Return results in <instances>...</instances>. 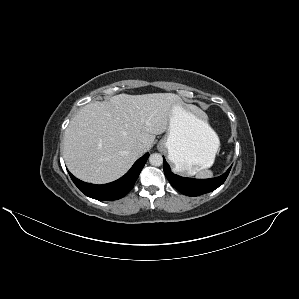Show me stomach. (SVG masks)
Segmentation results:
<instances>
[{"mask_svg": "<svg viewBox=\"0 0 299 299\" xmlns=\"http://www.w3.org/2000/svg\"><path fill=\"white\" fill-rule=\"evenodd\" d=\"M219 146L217 134L205 120L180 102L172 106L167 134L158 147L168 150V157L176 165V171L189 173L209 168Z\"/></svg>", "mask_w": 299, "mask_h": 299, "instance_id": "1", "label": "stomach"}]
</instances>
